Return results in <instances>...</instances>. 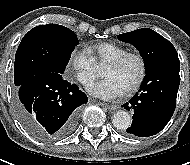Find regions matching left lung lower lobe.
Returning a JSON list of instances; mask_svg holds the SVG:
<instances>
[{
    "mask_svg": "<svg viewBox=\"0 0 190 165\" xmlns=\"http://www.w3.org/2000/svg\"><path fill=\"white\" fill-rule=\"evenodd\" d=\"M180 62L161 64L148 71L139 92L122 105L134 111L131 127L126 131L139 137L160 132L171 119L180 84Z\"/></svg>",
    "mask_w": 190,
    "mask_h": 165,
    "instance_id": "0a47b994",
    "label": "left lung lower lobe"
}]
</instances>
